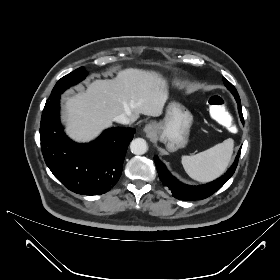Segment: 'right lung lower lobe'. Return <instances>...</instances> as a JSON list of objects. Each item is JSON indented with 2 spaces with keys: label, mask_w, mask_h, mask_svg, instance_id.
Here are the masks:
<instances>
[{
  "label": "right lung lower lobe",
  "mask_w": 280,
  "mask_h": 280,
  "mask_svg": "<svg viewBox=\"0 0 280 280\" xmlns=\"http://www.w3.org/2000/svg\"><path fill=\"white\" fill-rule=\"evenodd\" d=\"M59 100H47L40 139L44 160L53 175L69 190L82 195H101L118 182L135 129L111 128L89 144H78L64 133Z\"/></svg>",
  "instance_id": "obj_1"
}]
</instances>
